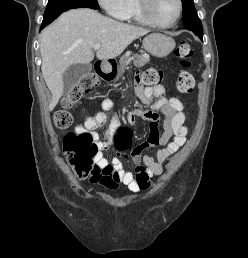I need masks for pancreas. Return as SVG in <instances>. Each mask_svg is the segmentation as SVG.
<instances>
[{
  "label": "pancreas",
  "instance_id": "pancreas-1",
  "mask_svg": "<svg viewBox=\"0 0 248 258\" xmlns=\"http://www.w3.org/2000/svg\"><path fill=\"white\" fill-rule=\"evenodd\" d=\"M141 55L135 54L134 56L136 59L134 60L133 64L136 67H143L145 64H147L150 60L149 55L144 54V52L141 50ZM130 52L124 54L119 61V66L117 68L118 76H121L124 74L125 69L127 68V62L130 60Z\"/></svg>",
  "mask_w": 248,
  "mask_h": 258
}]
</instances>
